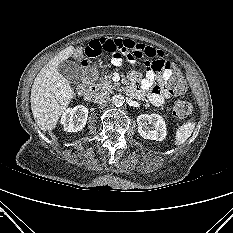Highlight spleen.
I'll return each mask as SVG.
<instances>
[{
    "label": "spleen",
    "instance_id": "3e777b00",
    "mask_svg": "<svg viewBox=\"0 0 233 233\" xmlns=\"http://www.w3.org/2000/svg\"><path fill=\"white\" fill-rule=\"evenodd\" d=\"M195 122L193 119L188 120L186 123L179 126L176 130L175 145L183 144L193 133Z\"/></svg>",
    "mask_w": 233,
    "mask_h": 233
}]
</instances>
